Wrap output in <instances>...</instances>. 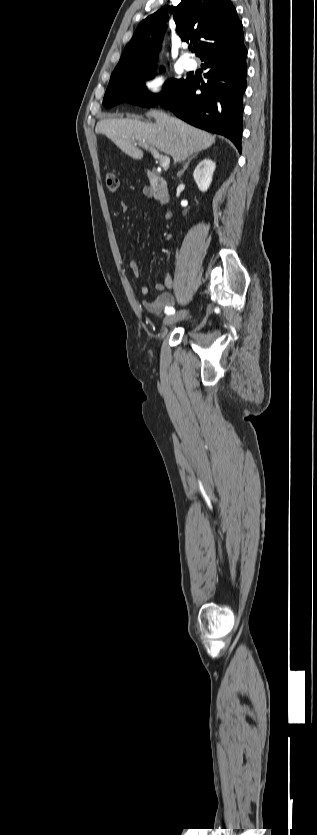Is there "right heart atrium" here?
Returning a JSON list of instances; mask_svg holds the SVG:
<instances>
[{"instance_id": "1", "label": "right heart atrium", "mask_w": 317, "mask_h": 835, "mask_svg": "<svg viewBox=\"0 0 317 835\" xmlns=\"http://www.w3.org/2000/svg\"><path fill=\"white\" fill-rule=\"evenodd\" d=\"M142 90L149 98L153 99L165 95L168 90L167 76L160 71L151 73L142 82Z\"/></svg>"}]
</instances>
